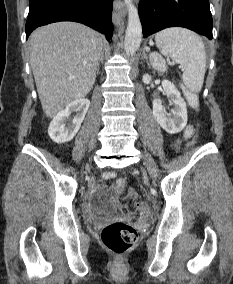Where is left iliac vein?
I'll list each match as a JSON object with an SVG mask.
<instances>
[{
  "instance_id": "1",
  "label": "left iliac vein",
  "mask_w": 233,
  "mask_h": 284,
  "mask_svg": "<svg viewBox=\"0 0 233 284\" xmlns=\"http://www.w3.org/2000/svg\"><path fill=\"white\" fill-rule=\"evenodd\" d=\"M142 157L144 159V164L147 167L150 176L156 178L158 175V170L154 160L148 153H143Z\"/></svg>"
}]
</instances>
